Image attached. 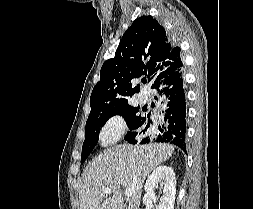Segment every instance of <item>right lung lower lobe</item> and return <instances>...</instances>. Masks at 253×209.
<instances>
[{
  "instance_id": "obj_1",
  "label": "right lung lower lobe",
  "mask_w": 253,
  "mask_h": 209,
  "mask_svg": "<svg viewBox=\"0 0 253 209\" xmlns=\"http://www.w3.org/2000/svg\"><path fill=\"white\" fill-rule=\"evenodd\" d=\"M156 89L163 94L165 102L163 118L152 121L149 116L142 117L140 126L128 133L125 140L132 144H144L150 140L170 143L186 153V99L182 71L168 76Z\"/></svg>"
}]
</instances>
